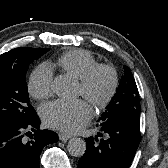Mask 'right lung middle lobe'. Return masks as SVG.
<instances>
[{
	"label": "right lung middle lobe",
	"mask_w": 168,
	"mask_h": 168,
	"mask_svg": "<svg viewBox=\"0 0 168 168\" xmlns=\"http://www.w3.org/2000/svg\"><path fill=\"white\" fill-rule=\"evenodd\" d=\"M49 49L22 47L0 59V121H30L37 114L29 103L28 66Z\"/></svg>",
	"instance_id": "right-lung-middle-lobe-1"
}]
</instances>
